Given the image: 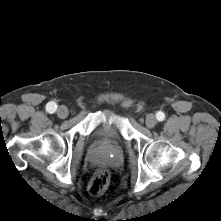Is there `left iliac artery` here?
Wrapping results in <instances>:
<instances>
[{"instance_id":"44dca946","label":"left iliac artery","mask_w":221,"mask_h":221,"mask_svg":"<svg viewBox=\"0 0 221 221\" xmlns=\"http://www.w3.org/2000/svg\"><path fill=\"white\" fill-rule=\"evenodd\" d=\"M156 118L158 121H163L165 119V114L162 111L157 112Z\"/></svg>"}]
</instances>
